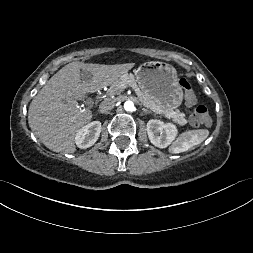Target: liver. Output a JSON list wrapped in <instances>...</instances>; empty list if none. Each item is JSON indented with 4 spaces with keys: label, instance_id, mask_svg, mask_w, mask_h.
Masks as SVG:
<instances>
[{
    "label": "liver",
    "instance_id": "liver-1",
    "mask_svg": "<svg viewBox=\"0 0 253 253\" xmlns=\"http://www.w3.org/2000/svg\"><path fill=\"white\" fill-rule=\"evenodd\" d=\"M134 66L72 62L53 75L33 98L28 123L33 133L54 152L74 153L77 132L92 119L77 100L112 85Z\"/></svg>",
    "mask_w": 253,
    "mask_h": 253
}]
</instances>
